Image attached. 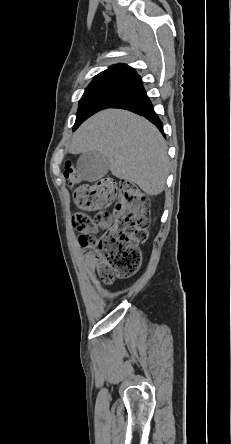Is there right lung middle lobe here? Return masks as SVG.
<instances>
[{"mask_svg": "<svg viewBox=\"0 0 231 444\" xmlns=\"http://www.w3.org/2000/svg\"><path fill=\"white\" fill-rule=\"evenodd\" d=\"M126 94L128 93L124 89L111 85L87 88L80 99L73 130L88 117L99 110L109 108Z\"/></svg>", "mask_w": 231, "mask_h": 444, "instance_id": "right-lung-middle-lobe-1", "label": "right lung middle lobe"}]
</instances>
